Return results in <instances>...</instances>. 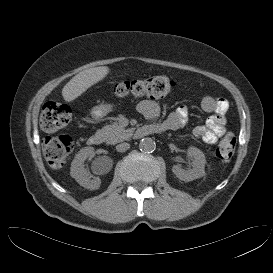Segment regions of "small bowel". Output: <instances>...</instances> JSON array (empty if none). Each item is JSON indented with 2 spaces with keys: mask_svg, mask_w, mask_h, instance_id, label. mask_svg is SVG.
<instances>
[{
  "mask_svg": "<svg viewBox=\"0 0 273 273\" xmlns=\"http://www.w3.org/2000/svg\"><path fill=\"white\" fill-rule=\"evenodd\" d=\"M201 107L204 111L214 114L207 119L205 124L195 127L194 135L206 144L213 145L226 133V113L229 104L225 98L206 96L201 102ZM137 109L150 123L157 122L160 117L159 104L154 100L140 101ZM187 119V108L180 106L163 123L168 126V130H177L185 126Z\"/></svg>",
  "mask_w": 273,
  "mask_h": 273,
  "instance_id": "obj_1",
  "label": "small bowel"
}]
</instances>
